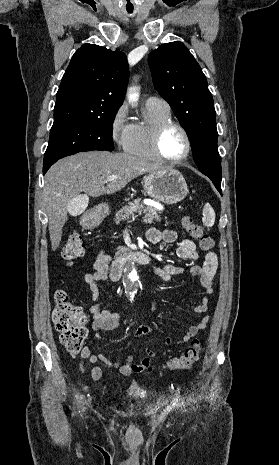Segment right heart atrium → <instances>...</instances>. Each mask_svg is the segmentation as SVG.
<instances>
[{
	"instance_id": "right-heart-atrium-1",
	"label": "right heart atrium",
	"mask_w": 279,
	"mask_h": 465,
	"mask_svg": "<svg viewBox=\"0 0 279 465\" xmlns=\"http://www.w3.org/2000/svg\"><path fill=\"white\" fill-rule=\"evenodd\" d=\"M132 133V124L128 120L126 105L119 106L110 121V136L113 142L124 149L127 147Z\"/></svg>"
}]
</instances>
